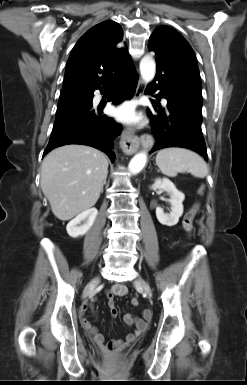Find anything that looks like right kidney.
Listing matches in <instances>:
<instances>
[{
  "label": "right kidney",
  "mask_w": 247,
  "mask_h": 385,
  "mask_svg": "<svg viewBox=\"0 0 247 385\" xmlns=\"http://www.w3.org/2000/svg\"><path fill=\"white\" fill-rule=\"evenodd\" d=\"M97 214L98 210L96 208H90L76 216L66 226L68 235L72 238L85 235L92 227ZM81 222H83L82 225Z\"/></svg>",
  "instance_id": "ca27d5eb"
}]
</instances>
